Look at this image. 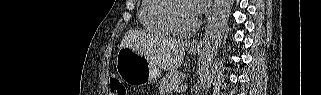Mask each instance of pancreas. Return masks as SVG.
<instances>
[{
    "mask_svg": "<svg viewBox=\"0 0 321 95\" xmlns=\"http://www.w3.org/2000/svg\"><path fill=\"white\" fill-rule=\"evenodd\" d=\"M184 74L182 72L172 71L166 74L160 81V92H166L168 90H174L179 88L184 80Z\"/></svg>",
    "mask_w": 321,
    "mask_h": 95,
    "instance_id": "cf45deb5",
    "label": "pancreas"
}]
</instances>
